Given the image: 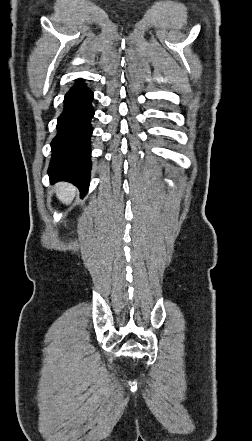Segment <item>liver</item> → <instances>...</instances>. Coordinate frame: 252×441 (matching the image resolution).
I'll return each instance as SVG.
<instances>
[{"instance_id": "liver-1", "label": "liver", "mask_w": 252, "mask_h": 441, "mask_svg": "<svg viewBox=\"0 0 252 441\" xmlns=\"http://www.w3.org/2000/svg\"><path fill=\"white\" fill-rule=\"evenodd\" d=\"M54 190L58 199L66 205L72 202L76 193V188L72 184L65 182L57 183Z\"/></svg>"}]
</instances>
